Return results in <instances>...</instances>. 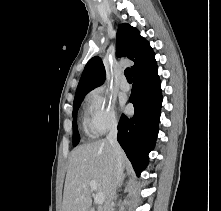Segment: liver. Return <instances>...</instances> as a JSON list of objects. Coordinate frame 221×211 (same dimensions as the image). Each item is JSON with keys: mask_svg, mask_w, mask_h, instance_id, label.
I'll list each match as a JSON object with an SVG mask.
<instances>
[{"mask_svg": "<svg viewBox=\"0 0 221 211\" xmlns=\"http://www.w3.org/2000/svg\"><path fill=\"white\" fill-rule=\"evenodd\" d=\"M122 166L127 158L122 151ZM114 156L107 140H98L75 148L69 158L62 211H89L92 205L90 181L97 184V192L108 196L114 172Z\"/></svg>", "mask_w": 221, "mask_h": 211, "instance_id": "liver-1", "label": "liver"}]
</instances>
